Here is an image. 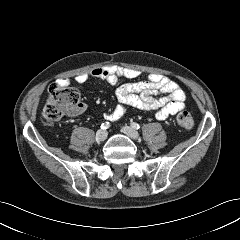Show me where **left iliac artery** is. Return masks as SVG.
Returning a JSON list of instances; mask_svg holds the SVG:
<instances>
[{"label":"left iliac artery","mask_w":240,"mask_h":240,"mask_svg":"<svg viewBox=\"0 0 240 240\" xmlns=\"http://www.w3.org/2000/svg\"><path fill=\"white\" fill-rule=\"evenodd\" d=\"M131 126L134 128V129H140V125L139 124H137V123H135V122H132L131 123Z\"/></svg>","instance_id":"1"}]
</instances>
